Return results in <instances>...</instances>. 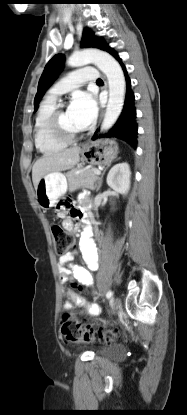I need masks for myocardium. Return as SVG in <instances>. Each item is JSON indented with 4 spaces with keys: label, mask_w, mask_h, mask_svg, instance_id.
Masks as SVG:
<instances>
[{
    "label": "myocardium",
    "mask_w": 187,
    "mask_h": 415,
    "mask_svg": "<svg viewBox=\"0 0 187 415\" xmlns=\"http://www.w3.org/2000/svg\"><path fill=\"white\" fill-rule=\"evenodd\" d=\"M65 112L64 105L60 104L56 107V109L52 112L49 122L48 128L50 134L57 139L66 144H71L79 140L83 136V131L79 133H69L67 132L61 125V116Z\"/></svg>",
    "instance_id": "1"
}]
</instances>
